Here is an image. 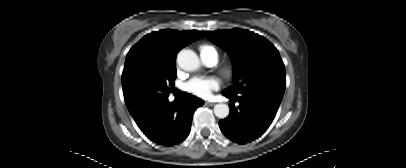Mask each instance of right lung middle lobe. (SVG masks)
Wrapping results in <instances>:
<instances>
[{
	"instance_id": "obj_1",
	"label": "right lung middle lobe",
	"mask_w": 406,
	"mask_h": 168,
	"mask_svg": "<svg viewBox=\"0 0 406 168\" xmlns=\"http://www.w3.org/2000/svg\"><path fill=\"white\" fill-rule=\"evenodd\" d=\"M176 78L175 65L134 61L124 67L122 87L130 113L167 98ZM169 86H171L169 88Z\"/></svg>"
}]
</instances>
